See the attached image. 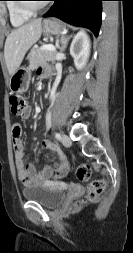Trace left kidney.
I'll use <instances>...</instances> for the list:
<instances>
[{
	"label": "left kidney",
	"mask_w": 133,
	"mask_h": 253,
	"mask_svg": "<svg viewBox=\"0 0 133 253\" xmlns=\"http://www.w3.org/2000/svg\"><path fill=\"white\" fill-rule=\"evenodd\" d=\"M70 54L77 69H82L90 55V40L84 31H79L70 46Z\"/></svg>",
	"instance_id": "left-kidney-1"
}]
</instances>
